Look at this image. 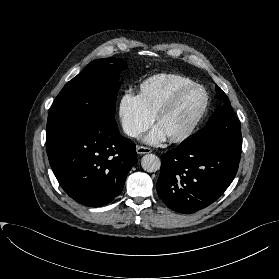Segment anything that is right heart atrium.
<instances>
[{"label": "right heart atrium", "instance_id": "obj_1", "mask_svg": "<svg viewBox=\"0 0 279 279\" xmlns=\"http://www.w3.org/2000/svg\"><path fill=\"white\" fill-rule=\"evenodd\" d=\"M117 116L124 133L136 138L153 123L154 117L146 110L139 94L124 92L117 105Z\"/></svg>", "mask_w": 279, "mask_h": 279}]
</instances>
